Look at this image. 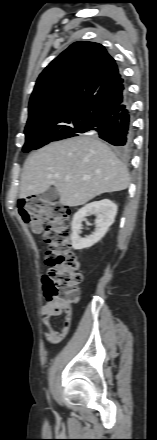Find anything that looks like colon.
I'll list each match as a JSON object with an SVG mask.
<instances>
[{
    "mask_svg": "<svg viewBox=\"0 0 157 440\" xmlns=\"http://www.w3.org/2000/svg\"><path fill=\"white\" fill-rule=\"evenodd\" d=\"M19 214L30 231L49 246V269L43 278L45 295L53 315L69 320L82 281L80 263L70 243V209L60 202L30 197L19 203Z\"/></svg>",
    "mask_w": 157,
    "mask_h": 440,
    "instance_id": "1",
    "label": "colon"
}]
</instances>
